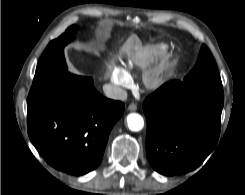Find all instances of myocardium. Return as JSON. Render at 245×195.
I'll return each mask as SVG.
<instances>
[{"mask_svg":"<svg viewBox=\"0 0 245 195\" xmlns=\"http://www.w3.org/2000/svg\"><path fill=\"white\" fill-rule=\"evenodd\" d=\"M171 63H172V58L168 57L158 65L146 71L145 74L143 75L144 85L148 89L159 88L165 81V77L170 68Z\"/></svg>","mask_w":245,"mask_h":195,"instance_id":"f54148a6","label":"myocardium"}]
</instances>
